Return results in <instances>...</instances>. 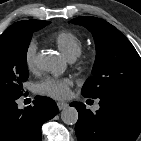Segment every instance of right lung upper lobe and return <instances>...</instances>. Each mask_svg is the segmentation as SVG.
Wrapping results in <instances>:
<instances>
[{
    "mask_svg": "<svg viewBox=\"0 0 141 141\" xmlns=\"http://www.w3.org/2000/svg\"><path fill=\"white\" fill-rule=\"evenodd\" d=\"M21 22H23V21H20V22H16V23H14V24H13V25H11L8 29L12 28V27H13V26H15V25L20 24Z\"/></svg>",
    "mask_w": 141,
    "mask_h": 141,
    "instance_id": "cb5924a9",
    "label": "right lung upper lobe"
}]
</instances>
